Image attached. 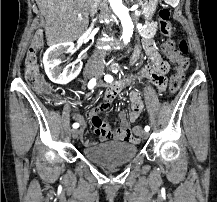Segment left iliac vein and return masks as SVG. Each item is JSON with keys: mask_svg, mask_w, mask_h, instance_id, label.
<instances>
[{"mask_svg": "<svg viewBox=\"0 0 217 202\" xmlns=\"http://www.w3.org/2000/svg\"><path fill=\"white\" fill-rule=\"evenodd\" d=\"M148 136H149L148 132H146V131L140 132V138L141 139H146V138H148Z\"/></svg>", "mask_w": 217, "mask_h": 202, "instance_id": "obj_1", "label": "left iliac vein"}]
</instances>
